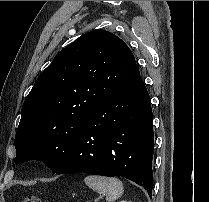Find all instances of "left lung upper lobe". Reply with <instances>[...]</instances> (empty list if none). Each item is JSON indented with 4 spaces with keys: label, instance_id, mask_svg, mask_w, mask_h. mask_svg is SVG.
<instances>
[{
    "label": "left lung upper lobe",
    "instance_id": "left-lung-upper-lobe-1",
    "mask_svg": "<svg viewBox=\"0 0 209 202\" xmlns=\"http://www.w3.org/2000/svg\"><path fill=\"white\" fill-rule=\"evenodd\" d=\"M140 76L116 35L88 32L61 50L26 97L15 136L19 164L43 161L56 173L73 151L85 117Z\"/></svg>",
    "mask_w": 209,
    "mask_h": 202
}]
</instances>
